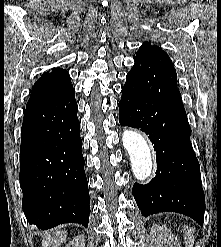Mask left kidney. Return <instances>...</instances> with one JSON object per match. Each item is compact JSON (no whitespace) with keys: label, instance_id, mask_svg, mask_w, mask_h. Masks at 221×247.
<instances>
[{"label":"left kidney","instance_id":"obj_1","mask_svg":"<svg viewBox=\"0 0 221 247\" xmlns=\"http://www.w3.org/2000/svg\"><path fill=\"white\" fill-rule=\"evenodd\" d=\"M150 234L154 247H181L178 238L166 226L153 224Z\"/></svg>","mask_w":221,"mask_h":247}]
</instances>
